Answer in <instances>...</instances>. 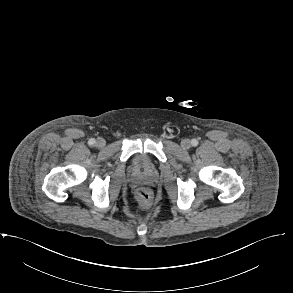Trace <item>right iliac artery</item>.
Wrapping results in <instances>:
<instances>
[{"label": "right iliac artery", "mask_w": 293, "mask_h": 293, "mask_svg": "<svg viewBox=\"0 0 293 293\" xmlns=\"http://www.w3.org/2000/svg\"><path fill=\"white\" fill-rule=\"evenodd\" d=\"M88 144H89L90 146L94 145V144H95V139H90V140L88 141Z\"/></svg>", "instance_id": "obj_1"}]
</instances>
